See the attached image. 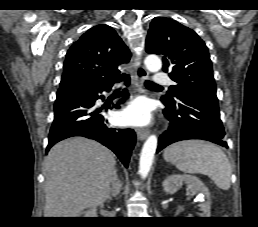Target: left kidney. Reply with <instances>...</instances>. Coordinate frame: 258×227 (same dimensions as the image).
I'll return each instance as SVG.
<instances>
[{
    "mask_svg": "<svg viewBox=\"0 0 258 227\" xmlns=\"http://www.w3.org/2000/svg\"><path fill=\"white\" fill-rule=\"evenodd\" d=\"M183 184H186L187 189L193 194H197L201 200L199 207L202 213L199 214V217H210V192L199 178L187 174H173L163 181V188L166 193L174 194Z\"/></svg>",
    "mask_w": 258,
    "mask_h": 227,
    "instance_id": "1",
    "label": "left kidney"
}]
</instances>
